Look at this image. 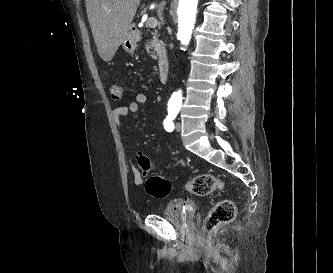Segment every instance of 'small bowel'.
<instances>
[{
  "mask_svg": "<svg viewBox=\"0 0 333 273\" xmlns=\"http://www.w3.org/2000/svg\"><path fill=\"white\" fill-rule=\"evenodd\" d=\"M148 102V95L144 92L136 94L133 101L127 105H119L113 110V120L117 126H120L122 119L128 115H135L140 110L141 106L145 105ZM141 154L137 155V162ZM131 173L133 182L136 186H141L144 183V174L140 170L139 164L138 167L135 165L131 166Z\"/></svg>",
  "mask_w": 333,
  "mask_h": 273,
  "instance_id": "small-bowel-1",
  "label": "small bowel"
}]
</instances>
